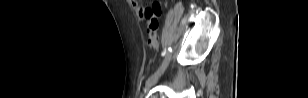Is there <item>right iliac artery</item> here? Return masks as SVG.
<instances>
[{
    "instance_id": "right-iliac-artery-1",
    "label": "right iliac artery",
    "mask_w": 308,
    "mask_h": 98,
    "mask_svg": "<svg viewBox=\"0 0 308 98\" xmlns=\"http://www.w3.org/2000/svg\"><path fill=\"white\" fill-rule=\"evenodd\" d=\"M171 52H172L171 47H168L167 50L166 49L163 50L162 56H165L166 53L168 55ZM166 66H167L166 59H164V61H163L162 65L160 66V68L147 80V82H149L151 79L155 78L158 74H160L166 68Z\"/></svg>"
}]
</instances>
